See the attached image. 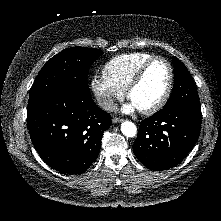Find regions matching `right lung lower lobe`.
<instances>
[{
    "instance_id": "obj_1",
    "label": "right lung lower lobe",
    "mask_w": 221,
    "mask_h": 221,
    "mask_svg": "<svg viewBox=\"0 0 221 221\" xmlns=\"http://www.w3.org/2000/svg\"><path fill=\"white\" fill-rule=\"evenodd\" d=\"M32 143L46 164L64 174L83 173L97 158L111 116L89 91L57 89L27 110Z\"/></svg>"
}]
</instances>
